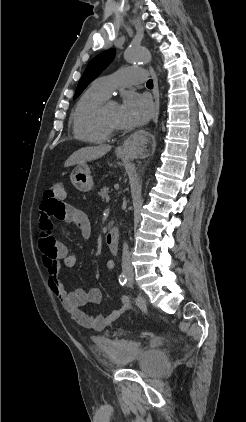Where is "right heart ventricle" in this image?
I'll list each match as a JSON object with an SVG mask.
<instances>
[{
  "label": "right heart ventricle",
  "mask_w": 246,
  "mask_h": 422,
  "mask_svg": "<svg viewBox=\"0 0 246 422\" xmlns=\"http://www.w3.org/2000/svg\"><path fill=\"white\" fill-rule=\"evenodd\" d=\"M108 96L95 86L87 89L79 98L71 115L72 129L76 138L93 144L105 142L110 133L102 126L99 110Z\"/></svg>",
  "instance_id": "e07e8e85"
}]
</instances>
